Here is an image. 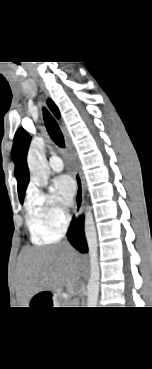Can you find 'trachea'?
I'll list each match as a JSON object with an SVG mask.
<instances>
[{
    "label": "trachea",
    "instance_id": "1",
    "mask_svg": "<svg viewBox=\"0 0 152 369\" xmlns=\"http://www.w3.org/2000/svg\"><path fill=\"white\" fill-rule=\"evenodd\" d=\"M43 114H44L45 126L47 128V131H48L51 139L58 146L64 147L65 146L64 137H63V134H62L57 122L49 114V112L46 109H43Z\"/></svg>",
    "mask_w": 152,
    "mask_h": 369
}]
</instances>
